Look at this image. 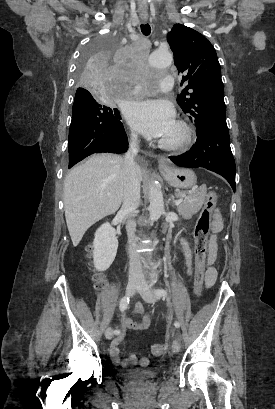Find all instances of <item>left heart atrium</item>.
Masks as SVG:
<instances>
[{
    "label": "left heart atrium",
    "mask_w": 275,
    "mask_h": 409,
    "mask_svg": "<svg viewBox=\"0 0 275 409\" xmlns=\"http://www.w3.org/2000/svg\"><path fill=\"white\" fill-rule=\"evenodd\" d=\"M124 111L128 121L146 137L161 138L174 126L173 108L163 101L130 102Z\"/></svg>",
    "instance_id": "39dd6f15"
}]
</instances>
